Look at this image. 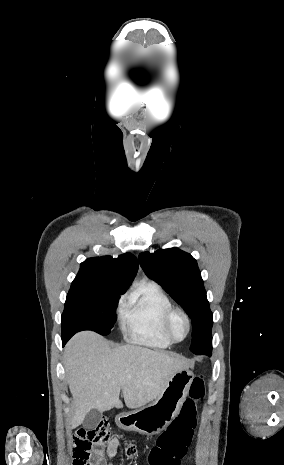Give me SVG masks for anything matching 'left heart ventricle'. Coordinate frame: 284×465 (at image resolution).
Returning <instances> with one entry per match:
<instances>
[{"mask_svg": "<svg viewBox=\"0 0 284 465\" xmlns=\"http://www.w3.org/2000/svg\"><path fill=\"white\" fill-rule=\"evenodd\" d=\"M170 331L172 336L177 340H182L185 338L187 334V327L181 314L175 315V317L172 319Z\"/></svg>", "mask_w": 284, "mask_h": 465, "instance_id": "left-heart-ventricle-1", "label": "left heart ventricle"}]
</instances>
